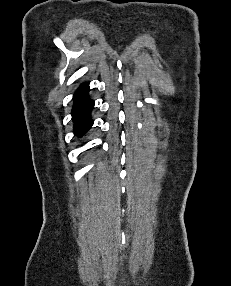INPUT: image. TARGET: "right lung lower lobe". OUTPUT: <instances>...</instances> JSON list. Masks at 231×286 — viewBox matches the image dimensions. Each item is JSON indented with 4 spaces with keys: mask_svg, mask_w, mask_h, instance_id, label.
Instances as JSON below:
<instances>
[{
    "mask_svg": "<svg viewBox=\"0 0 231 286\" xmlns=\"http://www.w3.org/2000/svg\"><path fill=\"white\" fill-rule=\"evenodd\" d=\"M89 86L82 84L74 95V105L72 109V119L75 124L76 136H82L93 125L90 118L94 102L88 97Z\"/></svg>",
    "mask_w": 231,
    "mask_h": 286,
    "instance_id": "98d812e1",
    "label": "right lung lower lobe"
}]
</instances>
